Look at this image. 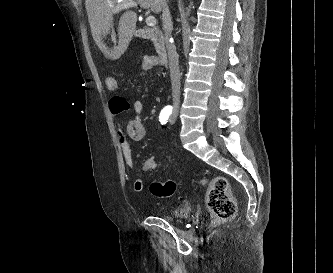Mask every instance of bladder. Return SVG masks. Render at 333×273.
Segmentation results:
<instances>
[{"label": "bladder", "instance_id": "1", "mask_svg": "<svg viewBox=\"0 0 333 273\" xmlns=\"http://www.w3.org/2000/svg\"><path fill=\"white\" fill-rule=\"evenodd\" d=\"M191 214V206L189 203L182 202L176 204L172 209L171 213L166 215L165 218L174 221L177 219L188 218Z\"/></svg>", "mask_w": 333, "mask_h": 273}]
</instances>
